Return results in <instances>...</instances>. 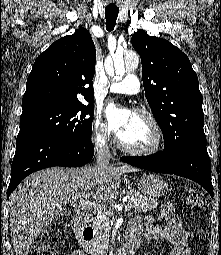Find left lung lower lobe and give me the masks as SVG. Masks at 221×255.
Segmentation results:
<instances>
[{"mask_svg": "<svg viewBox=\"0 0 221 255\" xmlns=\"http://www.w3.org/2000/svg\"><path fill=\"white\" fill-rule=\"evenodd\" d=\"M121 160L142 169L191 179L213 196L210 159L206 145L188 146L175 156L163 151L148 156L122 157Z\"/></svg>", "mask_w": 221, "mask_h": 255, "instance_id": "left-lung-lower-lobe-1", "label": "left lung lower lobe"}]
</instances>
